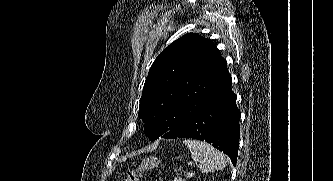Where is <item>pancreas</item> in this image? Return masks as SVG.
Wrapping results in <instances>:
<instances>
[{"instance_id":"obj_1","label":"pancreas","mask_w":333,"mask_h":181,"mask_svg":"<svg viewBox=\"0 0 333 181\" xmlns=\"http://www.w3.org/2000/svg\"><path fill=\"white\" fill-rule=\"evenodd\" d=\"M174 181H186L185 179H182V178H180V177H176L175 179H174Z\"/></svg>"}]
</instances>
